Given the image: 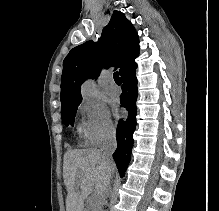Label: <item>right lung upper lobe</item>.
I'll use <instances>...</instances> for the list:
<instances>
[{
    "label": "right lung upper lobe",
    "mask_w": 219,
    "mask_h": 211,
    "mask_svg": "<svg viewBox=\"0 0 219 211\" xmlns=\"http://www.w3.org/2000/svg\"><path fill=\"white\" fill-rule=\"evenodd\" d=\"M139 54L137 32L124 14L114 11L97 43L88 41L73 48L63 61L61 104L82 101L80 87L87 78H97L103 67H120V75L135 65Z\"/></svg>",
    "instance_id": "1"
}]
</instances>
